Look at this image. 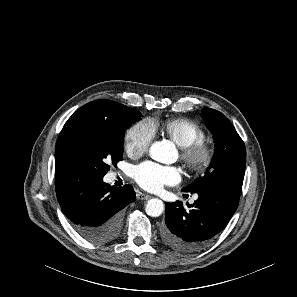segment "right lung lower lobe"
I'll list each match as a JSON object with an SVG mask.
<instances>
[{"label":"right lung lower lobe","mask_w":297,"mask_h":297,"mask_svg":"<svg viewBox=\"0 0 297 297\" xmlns=\"http://www.w3.org/2000/svg\"><path fill=\"white\" fill-rule=\"evenodd\" d=\"M55 188L63 213L76 232L88 241L106 243L116 239L122 227V209L135 199L131 185L110 187L82 170L55 174Z\"/></svg>","instance_id":"right-lung-lower-lobe-1"}]
</instances>
